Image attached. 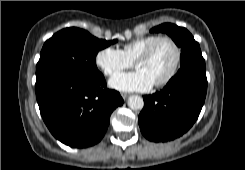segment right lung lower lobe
I'll list each match as a JSON object with an SVG mask.
<instances>
[{
  "instance_id": "98d812e1",
  "label": "right lung lower lobe",
  "mask_w": 245,
  "mask_h": 170,
  "mask_svg": "<svg viewBox=\"0 0 245 170\" xmlns=\"http://www.w3.org/2000/svg\"><path fill=\"white\" fill-rule=\"evenodd\" d=\"M41 116L52 135L74 148L97 144L110 115L123 104L119 92L109 90L104 76H66L36 90Z\"/></svg>"
}]
</instances>
